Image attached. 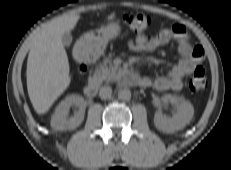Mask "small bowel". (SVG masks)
Wrapping results in <instances>:
<instances>
[{"mask_svg":"<svg viewBox=\"0 0 231 170\" xmlns=\"http://www.w3.org/2000/svg\"><path fill=\"white\" fill-rule=\"evenodd\" d=\"M175 40L178 43V51L182 56L166 74L158 76L154 80L148 77L140 79L144 86H153L158 91L183 88V79L193 72L204 59V50L200 46L190 43L186 27L182 24H174L170 28L161 30L154 35H139L129 42V48L134 52H152L158 47Z\"/></svg>","mask_w":231,"mask_h":170,"instance_id":"c3829d8e","label":"small bowel"}]
</instances>
